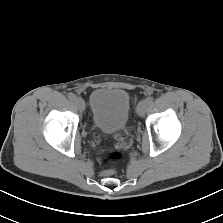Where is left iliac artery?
Here are the masks:
<instances>
[{
	"label": "left iliac artery",
	"mask_w": 223,
	"mask_h": 223,
	"mask_svg": "<svg viewBox=\"0 0 223 223\" xmlns=\"http://www.w3.org/2000/svg\"><path fill=\"white\" fill-rule=\"evenodd\" d=\"M146 103L147 104H151L153 102V97L152 96H148L146 99H145Z\"/></svg>",
	"instance_id": "obj_1"
}]
</instances>
